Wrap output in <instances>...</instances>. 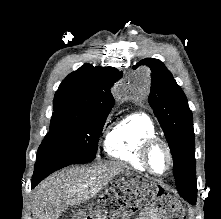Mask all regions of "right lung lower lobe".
<instances>
[{
	"label": "right lung lower lobe",
	"instance_id": "obj_1",
	"mask_svg": "<svg viewBox=\"0 0 221 219\" xmlns=\"http://www.w3.org/2000/svg\"><path fill=\"white\" fill-rule=\"evenodd\" d=\"M71 164L53 157L37 159L32 177V188L52 172Z\"/></svg>",
	"mask_w": 221,
	"mask_h": 219
}]
</instances>
